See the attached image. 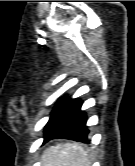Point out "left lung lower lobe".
Segmentation results:
<instances>
[{"instance_id": "obj_1", "label": "left lung lower lobe", "mask_w": 135, "mask_h": 166, "mask_svg": "<svg viewBox=\"0 0 135 166\" xmlns=\"http://www.w3.org/2000/svg\"><path fill=\"white\" fill-rule=\"evenodd\" d=\"M82 101L65 97L59 101L45 126L44 142L54 138H64L89 143L87 115L81 110Z\"/></svg>"}]
</instances>
